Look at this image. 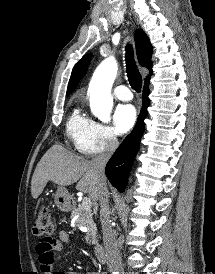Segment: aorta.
Segmentation results:
<instances>
[{
    "label": "aorta",
    "mask_w": 215,
    "mask_h": 274,
    "mask_svg": "<svg viewBox=\"0 0 215 274\" xmlns=\"http://www.w3.org/2000/svg\"><path fill=\"white\" fill-rule=\"evenodd\" d=\"M117 63L114 58H106L95 70L88 92L90 108L94 116L103 122L110 121L113 107L111 87L117 74Z\"/></svg>",
    "instance_id": "aorta-1"
}]
</instances>
